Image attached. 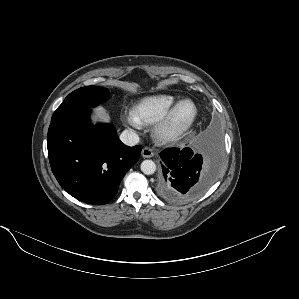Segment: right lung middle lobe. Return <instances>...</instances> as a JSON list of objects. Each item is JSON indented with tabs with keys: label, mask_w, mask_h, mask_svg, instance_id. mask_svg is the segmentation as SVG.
<instances>
[{
	"label": "right lung middle lobe",
	"mask_w": 299,
	"mask_h": 299,
	"mask_svg": "<svg viewBox=\"0 0 299 299\" xmlns=\"http://www.w3.org/2000/svg\"><path fill=\"white\" fill-rule=\"evenodd\" d=\"M109 98V92L105 88L87 86L70 93L62 104L54 112L52 119L68 114L79 108H91Z\"/></svg>",
	"instance_id": "right-lung-middle-lobe-1"
}]
</instances>
